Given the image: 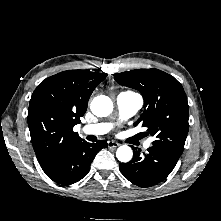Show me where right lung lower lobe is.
<instances>
[{
    "label": "right lung lower lobe",
    "instance_id": "right-lung-lower-lobe-1",
    "mask_svg": "<svg viewBox=\"0 0 221 221\" xmlns=\"http://www.w3.org/2000/svg\"><path fill=\"white\" fill-rule=\"evenodd\" d=\"M106 147L104 140L95 144L82 140L41 167L53 181L63 185L73 184L87 175L95 155Z\"/></svg>",
    "mask_w": 221,
    "mask_h": 221
}]
</instances>
